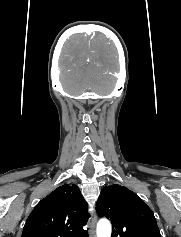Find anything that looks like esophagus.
Returning <instances> with one entry per match:
<instances>
[{"mask_svg":"<svg viewBox=\"0 0 181 237\" xmlns=\"http://www.w3.org/2000/svg\"><path fill=\"white\" fill-rule=\"evenodd\" d=\"M95 224H96V216L94 214L93 217H92V220L90 222V237H96Z\"/></svg>","mask_w":181,"mask_h":237,"instance_id":"1","label":"esophagus"}]
</instances>
